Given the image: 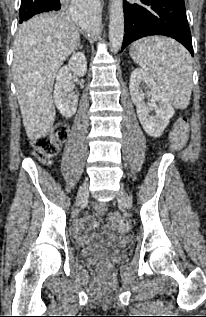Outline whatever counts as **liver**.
<instances>
[{"label":"liver","instance_id":"1","mask_svg":"<svg viewBox=\"0 0 206 317\" xmlns=\"http://www.w3.org/2000/svg\"><path fill=\"white\" fill-rule=\"evenodd\" d=\"M79 41V31L68 15H38L17 31L13 76L23 125L31 140L44 136L55 121L54 79Z\"/></svg>","mask_w":206,"mask_h":317}]
</instances>
